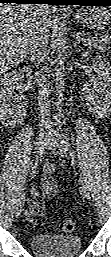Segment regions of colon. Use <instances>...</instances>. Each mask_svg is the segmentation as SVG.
<instances>
[{
    "label": "colon",
    "mask_w": 111,
    "mask_h": 257,
    "mask_svg": "<svg viewBox=\"0 0 111 257\" xmlns=\"http://www.w3.org/2000/svg\"><path fill=\"white\" fill-rule=\"evenodd\" d=\"M61 229L66 233H71L76 229V224L73 220H64L60 224Z\"/></svg>",
    "instance_id": "5ec220e1"
}]
</instances>
